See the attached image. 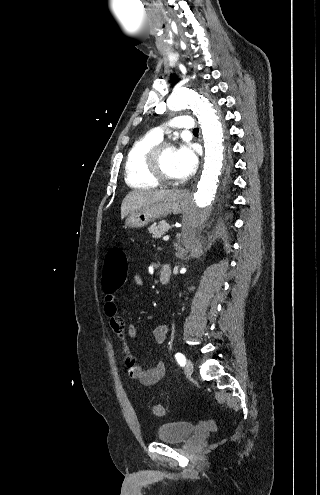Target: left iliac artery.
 I'll return each mask as SVG.
<instances>
[{
    "instance_id": "left-iliac-artery-1",
    "label": "left iliac artery",
    "mask_w": 320,
    "mask_h": 495,
    "mask_svg": "<svg viewBox=\"0 0 320 495\" xmlns=\"http://www.w3.org/2000/svg\"><path fill=\"white\" fill-rule=\"evenodd\" d=\"M175 358L180 366H184L186 364V358L182 353H176Z\"/></svg>"
}]
</instances>
